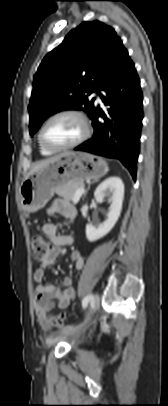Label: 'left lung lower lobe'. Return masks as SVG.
Segmentation results:
<instances>
[{"instance_id": "0a47b994", "label": "left lung lower lobe", "mask_w": 168, "mask_h": 406, "mask_svg": "<svg viewBox=\"0 0 168 406\" xmlns=\"http://www.w3.org/2000/svg\"><path fill=\"white\" fill-rule=\"evenodd\" d=\"M99 90L103 91L100 94L102 102L109 106L108 117L96 106L91 117L94 135L75 150L116 158L135 178L143 119V96L134 63L126 49L117 57ZM99 117L104 122H100Z\"/></svg>"}]
</instances>
